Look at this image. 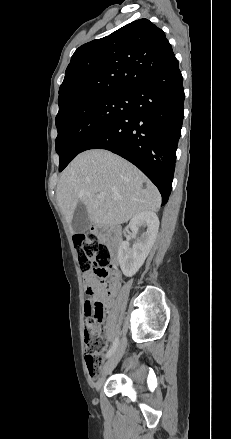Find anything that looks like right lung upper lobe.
<instances>
[{
  "instance_id": "1",
  "label": "right lung upper lobe",
  "mask_w": 231,
  "mask_h": 439,
  "mask_svg": "<svg viewBox=\"0 0 231 439\" xmlns=\"http://www.w3.org/2000/svg\"><path fill=\"white\" fill-rule=\"evenodd\" d=\"M176 60L160 28L133 21L75 51L59 88L58 114L89 98L133 94Z\"/></svg>"
}]
</instances>
